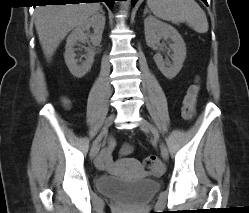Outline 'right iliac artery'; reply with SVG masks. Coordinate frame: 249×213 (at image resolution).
<instances>
[{"instance_id":"82829eb1","label":"right iliac artery","mask_w":249,"mask_h":213,"mask_svg":"<svg viewBox=\"0 0 249 213\" xmlns=\"http://www.w3.org/2000/svg\"><path fill=\"white\" fill-rule=\"evenodd\" d=\"M104 133H101L100 135H98V137L95 139V141L93 142V145L100 142L102 137H103Z\"/></svg>"}]
</instances>
